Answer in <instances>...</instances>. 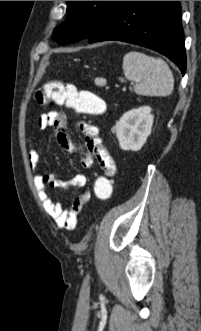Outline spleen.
I'll return each mask as SVG.
<instances>
[{
    "label": "spleen",
    "mask_w": 201,
    "mask_h": 331,
    "mask_svg": "<svg viewBox=\"0 0 201 331\" xmlns=\"http://www.w3.org/2000/svg\"><path fill=\"white\" fill-rule=\"evenodd\" d=\"M122 68L125 78L136 83L134 92L137 94L169 96L173 91L172 71L161 58L132 51L123 57Z\"/></svg>",
    "instance_id": "spleen-1"
}]
</instances>
